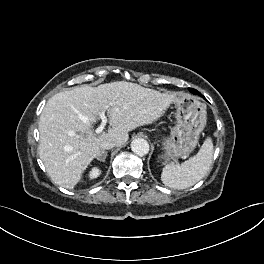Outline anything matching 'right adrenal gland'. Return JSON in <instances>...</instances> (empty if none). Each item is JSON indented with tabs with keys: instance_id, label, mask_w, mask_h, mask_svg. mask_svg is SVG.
I'll return each mask as SVG.
<instances>
[{
	"instance_id": "obj_1",
	"label": "right adrenal gland",
	"mask_w": 264,
	"mask_h": 264,
	"mask_svg": "<svg viewBox=\"0 0 264 264\" xmlns=\"http://www.w3.org/2000/svg\"><path fill=\"white\" fill-rule=\"evenodd\" d=\"M106 157H107V152H106V151H102V152L96 157V159H97L98 161L105 162Z\"/></svg>"
}]
</instances>
